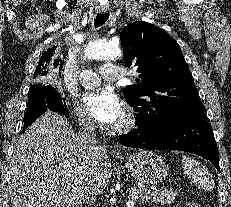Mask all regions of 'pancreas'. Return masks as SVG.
<instances>
[{"label": "pancreas", "mask_w": 231, "mask_h": 207, "mask_svg": "<svg viewBox=\"0 0 231 207\" xmlns=\"http://www.w3.org/2000/svg\"><path fill=\"white\" fill-rule=\"evenodd\" d=\"M130 196L133 201L140 200L144 197H148L146 201H151L154 203H161V204H171L174 202L177 193L174 190H145V189H136L131 188Z\"/></svg>", "instance_id": "1"}]
</instances>
